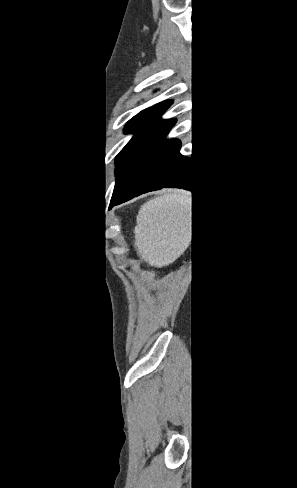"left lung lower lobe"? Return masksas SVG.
Returning <instances> with one entry per match:
<instances>
[{
	"instance_id": "obj_1",
	"label": "left lung lower lobe",
	"mask_w": 297,
	"mask_h": 488,
	"mask_svg": "<svg viewBox=\"0 0 297 488\" xmlns=\"http://www.w3.org/2000/svg\"><path fill=\"white\" fill-rule=\"evenodd\" d=\"M181 143L173 139L166 144L141 170L128 188L115 197L109 208L126 202L141 193L163 187H178L195 192L197 186L191 159L179 153Z\"/></svg>"
}]
</instances>
